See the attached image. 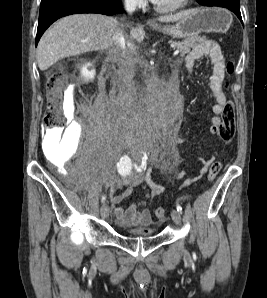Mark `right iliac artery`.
<instances>
[{
  "label": "right iliac artery",
  "mask_w": 267,
  "mask_h": 298,
  "mask_svg": "<svg viewBox=\"0 0 267 298\" xmlns=\"http://www.w3.org/2000/svg\"><path fill=\"white\" fill-rule=\"evenodd\" d=\"M125 160H126V159H125ZM105 200H106V196H105V195H103V196H102V199H101V202H102V203H104V202H105Z\"/></svg>",
  "instance_id": "82829eb1"
}]
</instances>
